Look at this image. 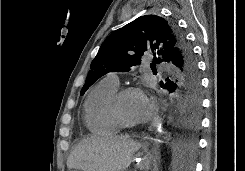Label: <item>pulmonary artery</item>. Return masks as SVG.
<instances>
[{
    "mask_svg": "<svg viewBox=\"0 0 245 171\" xmlns=\"http://www.w3.org/2000/svg\"><path fill=\"white\" fill-rule=\"evenodd\" d=\"M161 66H164V64H161ZM108 81H110L111 83L119 86V79H118V76L114 73H111L107 76L106 78Z\"/></svg>",
    "mask_w": 245,
    "mask_h": 171,
    "instance_id": "obj_1",
    "label": "pulmonary artery"
}]
</instances>
